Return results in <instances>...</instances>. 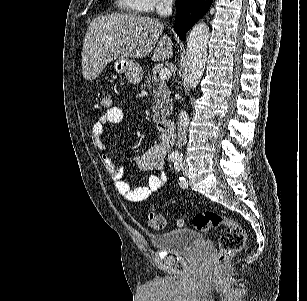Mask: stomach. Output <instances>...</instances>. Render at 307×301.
Masks as SVG:
<instances>
[{
	"instance_id": "0dacf381",
	"label": "stomach",
	"mask_w": 307,
	"mask_h": 301,
	"mask_svg": "<svg viewBox=\"0 0 307 301\" xmlns=\"http://www.w3.org/2000/svg\"><path fill=\"white\" fill-rule=\"evenodd\" d=\"M114 70L119 74H124L125 78L132 84H139L143 78V68L137 60L131 58H116L114 60Z\"/></svg>"
}]
</instances>
